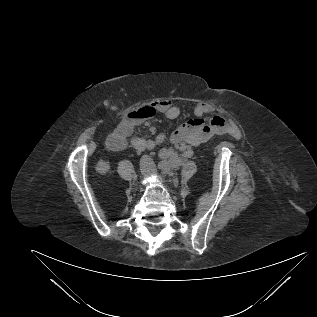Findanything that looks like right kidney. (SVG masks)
<instances>
[{
	"label": "right kidney",
	"mask_w": 317,
	"mask_h": 317,
	"mask_svg": "<svg viewBox=\"0 0 317 317\" xmlns=\"http://www.w3.org/2000/svg\"><path fill=\"white\" fill-rule=\"evenodd\" d=\"M96 171L100 174H105L109 171L110 169V164L108 161H105V160H99L96 164V167H95Z\"/></svg>",
	"instance_id": "obj_1"
}]
</instances>
